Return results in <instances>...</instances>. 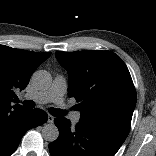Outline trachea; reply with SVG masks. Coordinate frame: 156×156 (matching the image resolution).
I'll list each match as a JSON object with an SVG mask.
<instances>
[{"label": "trachea", "instance_id": "obj_1", "mask_svg": "<svg viewBox=\"0 0 156 156\" xmlns=\"http://www.w3.org/2000/svg\"><path fill=\"white\" fill-rule=\"evenodd\" d=\"M23 105L27 108H34L35 107V103L31 100L23 101ZM49 113L53 116H56V117H61V116H64L66 114L65 111H63L61 109H56V108H49Z\"/></svg>", "mask_w": 156, "mask_h": 156}]
</instances>
